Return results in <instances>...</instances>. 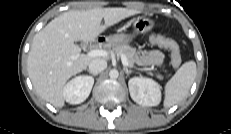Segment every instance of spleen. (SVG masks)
<instances>
[{"label":"spleen","instance_id":"1","mask_svg":"<svg viewBox=\"0 0 231 134\" xmlns=\"http://www.w3.org/2000/svg\"><path fill=\"white\" fill-rule=\"evenodd\" d=\"M197 74L194 61L185 62L165 85L164 107L181 102L188 94Z\"/></svg>","mask_w":231,"mask_h":134}]
</instances>
